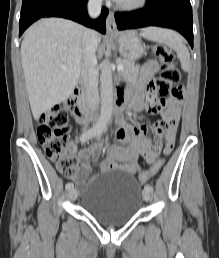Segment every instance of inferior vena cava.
I'll return each mask as SVG.
<instances>
[{
	"mask_svg": "<svg viewBox=\"0 0 219 258\" xmlns=\"http://www.w3.org/2000/svg\"><path fill=\"white\" fill-rule=\"evenodd\" d=\"M102 0H89L87 10L92 18L101 13ZM84 59L81 75L85 85V98L88 107L95 110L99 105L98 73L96 70L95 52L97 49L96 32L92 29H85L83 34Z\"/></svg>",
	"mask_w": 219,
	"mask_h": 258,
	"instance_id": "inferior-vena-cava-1",
	"label": "inferior vena cava"
}]
</instances>
